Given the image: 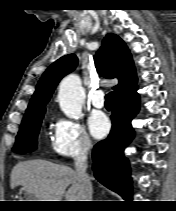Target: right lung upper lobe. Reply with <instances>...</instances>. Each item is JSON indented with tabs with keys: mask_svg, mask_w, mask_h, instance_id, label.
<instances>
[{
	"mask_svg": "<svg viewBox=\"0 0 176 211\" xmlns=\"http://www.w3.org/2000/svg\"><path fill=\"white\" fill-rule=\"evenodd\" d=\"M77 63L76 55H65L44 72L24 117L45 111V105L58 82L73 71ZM95 66L102 76L119 79V84L113 87L115 97H122L137 88V77L130 51L119 36L112 33L106 35L102 47L96 53Z\"/></svg>",
	"mask_w": 176,
	"mask_h": 211,
	"instance_id": "1",
	"label": "right lung upper lobe"
}]
</instances>
